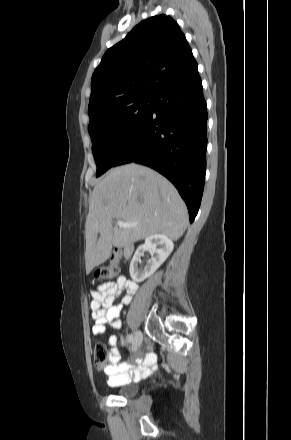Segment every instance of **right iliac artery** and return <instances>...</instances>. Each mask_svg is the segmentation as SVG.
<instances>
[{"label": "right iliac artery", "mask_w": 291, "mask_h": 440, "mask_svg": "<svg viewBox=\"0 0 291 440\" xmlns=\"http://www.w3.org/2000/svg\"><path fill=\"white\" fill-rule=\"evenodd\" d=\"M133 335L132 334H130L129 336H128V342L129 343H131V342H133Z\"/></svg>", "instance_id": "82829eb1"}]
</instances>
